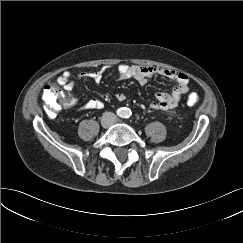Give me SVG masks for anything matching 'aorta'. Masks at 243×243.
<instances>
[{
  "label": "aorta",
  "instance_id": "1",
  "mask_svg": "<svg viewBox=\"0 0 243 243\" xmlns=\"http://www.w3.org/2000/svg\"><path fill=\"white\" fill-rule=\"evenodd\" d=\"M119 114L121 117H129L131 115V111L128 108H122Z\"/></svg>",
  "mask_w": 243,
  "mask_h": 243
}]
</instances>
